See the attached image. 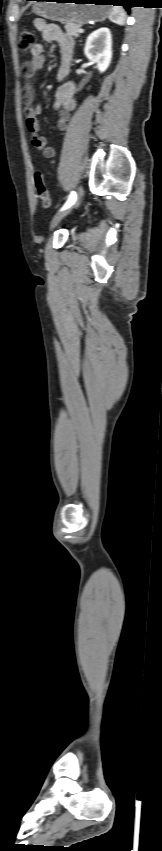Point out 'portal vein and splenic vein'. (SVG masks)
Instances as JSON below:
<instances>
[{"mask_svg":"<svg viewBox=\"0 0 162 851\" xmlns=\"http://www.w3.org/2000/svg\"><path fill=\"white\" fill-rule=\"evenodd\" d=\"M79 32H80V33H83V32H84V30H83V29H79Z\"/></svg>","mask_w":162,"mask_h":851,"instance_id":"18ae733b","label":"portal vein and splenic vein"}]
</instances>
